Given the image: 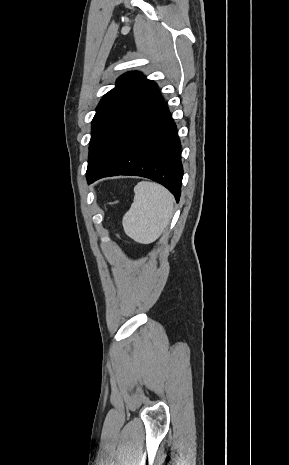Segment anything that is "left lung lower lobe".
Listing matches in <instances>:
<instances>
[{
	"label": "left lung lower lobe",
	"mask_w": 289,
	"mask_h": 465,
	"mask_svg": "<svg viewBox=\"0 0 289 465\" xmlns=\"http://www.w3.org/2000/svg\"><path fill=\"white\" fill-rule=\"evenodd\" d=\"M180 148L176 125L158 93L87 181L115 175L146 177L165 186L178 202L183 177Z\"/></svg>",
	"instance_id": "1"
}]
</instances>
